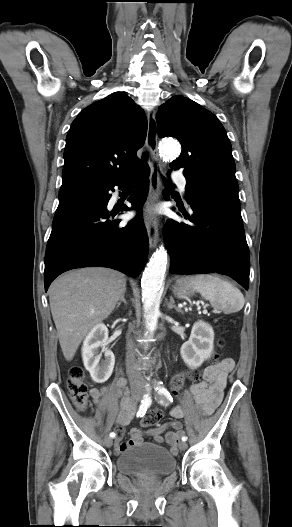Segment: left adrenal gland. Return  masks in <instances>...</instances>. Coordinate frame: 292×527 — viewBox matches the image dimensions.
Returning a JSON list of instances; mask_svg holds the SVG:
<instances>
[{
  "label": "left adrenal gland",
  "instance_id": "obj_1",
  "mask_svg": "<svg viewBox=\"0 0 292 527\" xmlns=\"http://www.w3.org/2000/svg\"><path fill=\"white\" fill-rule=\"evenodd\" d=\"M174 303L175 302H174L173 297H170V302L167 305L168 309L170 310V309L174 308L177 312H183L180 308L176 307V305Z\"/></svg>",
  "mask_w": 292,
  "mask_h": 527
}]
</instances>
